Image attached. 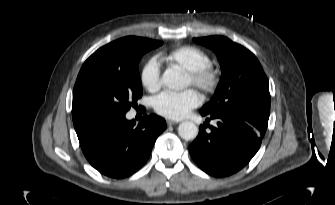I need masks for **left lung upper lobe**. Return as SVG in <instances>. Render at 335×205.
<instances>
[{
    "label": "left lung upper lobe",
    "mask_w": 335,
    "mask_h": 205,
    "mask_svg": "<svg viewBox=\"0 0 335 205\" xmlns=\"http://www.w3.org/2000/svg\"><path fill=\"white\" fill-rule=\"evenodd\" d=\"M193 40L216 53L222 71L214 96L200 112L246 114L268 122V80L255 55L224 36Z\"/></svg>",
    "instance_id": "1"
}]
</instances>
